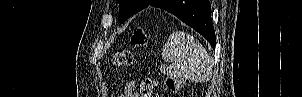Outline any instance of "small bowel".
<instances>
[{
    "label": "small bowel",
    "instance_id": "c3829d8e",
    "mask_svg": "<svg viewBox=\"0 0 302 97\" xmlns=\"http://www.w3.org/2000/svg\"><path fill=\"white\" fill-rule=\"evenodd\" d=\"M123 97H140L139 93L135 89L134 82H130L125 86Z\"/></svg>",
    "mask_w": 302,
    "mask_h": 97
}]
</instances>
